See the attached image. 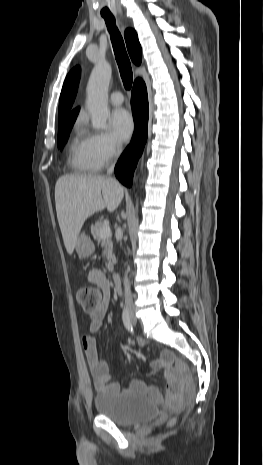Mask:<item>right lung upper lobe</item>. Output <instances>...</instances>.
Masks as SVG:
<instances>
[{"mask_svg":"<svg viewBox=\"0 0 263 465\" xmlns=\"http://www.w3.org/2000/svg\"><path fill=\"white\" fill-rule=\"evenodd\" d=\"M125 41L132 61L139 65L142 60V50L136 32L126 29ZM80 79V67L73 68L67 75L60 95L58 122L78 114L79 107L69 112L74 102Z\"/></svg>","mask_w":263,"mask_h":465,"instance_id":"right-lung-upper-lobe-1","label":"right lung upper lobe"}]
</instances>
